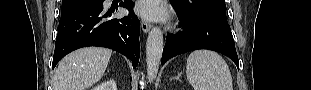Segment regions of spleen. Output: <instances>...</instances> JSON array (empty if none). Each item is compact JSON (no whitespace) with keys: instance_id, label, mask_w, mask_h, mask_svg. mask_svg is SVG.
I'll list each match as a JSON object with an SVG mask.
<instances>
[{"instance_id":"3e777b00","label":"spleen","mask_w":311,"mask_h":90,"mask_svg":"<svg viewBox=\"0 0 311 90\" xmlns=\"http://www.w3.org/2000/svg\"><path fill=\"white\" fill-rule=\"evenodd\" d=\"M186 74L194 90H233L229 67L216 52H192L187 59Z\"/></svg>"}]
</instances>
